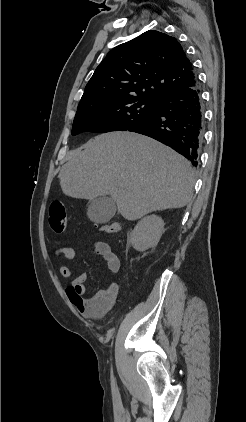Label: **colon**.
I'll use <instances>...</instances> for the list:
<instances>
[{
  "label": "colon",
  "instance_id": "obj_1",
  "mask_svg": "<svg viewBox=\"0 0 246 422\" xmlns=\"http://www.w3.org/2000/svg\"><path fill=\"white\" fill-rule=\"evenodd\" d=\"M49 223L56 233H62L66 229L68 216L63 202L55 200L51 203L49 208ZM101 231L109 234L118 233L120 227L116 224L106 225L101 228Z\"/></svg>",
  "mask_w": 246,
  "mask_h": 422
}]
</instances>
